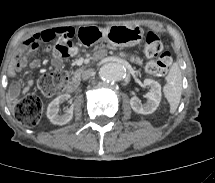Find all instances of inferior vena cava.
Here are the masks:
<instances>
[{
	"label": "inferior vena cava",
	"instance_id": "602c4592",
	"mask_svg": "<svg viewBox=\"0 0 215 183\" xmlns=\"http://www.w3.org/2000/svg\"><path fill=\"white\" fill-rule=\"evenodd\" d=\"M94 75H95V72L93 69H87L82 73L81 77L83 80H87V79L93 77Z\"/></svg>",
	"mask_w": 215,
	"mask_h": 183
}]
</instances>
